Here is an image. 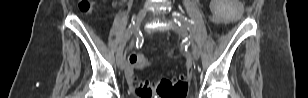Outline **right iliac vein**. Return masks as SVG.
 Returning a JSON list of instances; mask_svg holds the SVG:
<instances>
[{"instance_id":"right-iliac-vein-1","label":"right iliac vein","mask_w":308,"mask_h":98,"mask_svg":"<svg viewBox=\"0 0 308 98\" xmlns=\"http://www.w3.org/2000/svg\"><path fill=\"white\" fill-rule=\"evenodd\" d=\"M147 12H148L147 8H144L137 14V16L135 18V23H134V26H133V33L134 34H137L139 24L143 21ZM117 64L120 67V69H122V70L125 69V67H126L125 54L120 53V54L117 55Z\"/></svg>"}]
</instances>
